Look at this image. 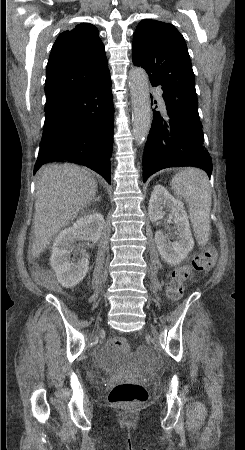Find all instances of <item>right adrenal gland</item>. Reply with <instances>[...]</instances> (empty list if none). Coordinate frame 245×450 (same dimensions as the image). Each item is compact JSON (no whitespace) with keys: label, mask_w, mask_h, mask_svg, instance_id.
I'll return each mask as SVG.
<instances>
[{"label":"right adrenal gland","mask_w":245,"mask_h":450,"mask_svg":"<svg viewBox=\"0 0 245 450\" xmlns=\"http://www.w3.org/2000/svg\"><path fill=\"white\" fill-rule=\"evenodd\" d=\"M97 201H100V197L99 196L94 199V203H96Z\"/></svg>","instance_id":"right-adrenal-gland-1"}]
</instances>
